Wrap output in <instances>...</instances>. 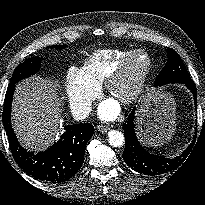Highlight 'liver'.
<instances>
[{
	"mask_svg": "<svg viewBox=\"0 0 205 205\" xmlns=\"http://www.w3.org/2000/svg\"><path fill=\"white\" fill-rule=\"evenodd\" d=\"M61 120L56 86L41 77L19 83L12 104V122L21 144L40 151L58 138Z\"/></svg>",
	"mask_w": 205,
	"mask_h": 205,
	"instance_id": "obj_1",
	"label": "liver"
}]
</instances>
